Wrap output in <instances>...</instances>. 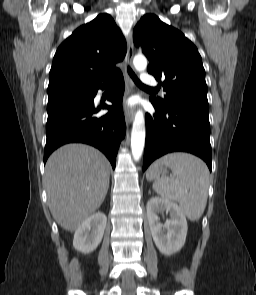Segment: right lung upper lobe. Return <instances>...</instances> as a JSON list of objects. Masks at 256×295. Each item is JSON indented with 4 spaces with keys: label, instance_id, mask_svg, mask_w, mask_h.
Listing matches in <instances>:
<instances>
[{
    "label": "right lung upper lobe",
    "instance_id": "cb5924a9",
    "mask_svg": "<svg viewBox=\"0 0 256 295\" xmlns=\"http://www.w3.org/2000/svg\"><path fill=\"white\" fill-rule=\"evenodd\" d=\"M126 41L108 14L77 28L57 49L49 73L48 96L96 88L120 70Z\"/></svg>",
    "mask_w": 256,
    "mask_h": 295
}]
</instances>
